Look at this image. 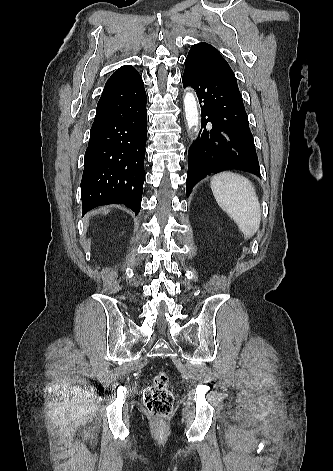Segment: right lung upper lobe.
<instances>
[{
  "label": "right lung upper lobe",
  "mask_w": 333,
  "mask_h": 471,
  "mask_svg": "<svg viewBox=\"0 0 333 471\" xmlns=\"http://www.w3.org/2000/svg\"><path fill=\"white\" fill-rule=\"evenodd\" d=\"M136 72L137 71L134 69V67L130 65L122 66L112 74V76L106 82L105 87L124 84Z\"/></svg>",
  "instance_id": "right-lung-upper-lobe-1"
}]
</instances>
